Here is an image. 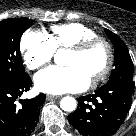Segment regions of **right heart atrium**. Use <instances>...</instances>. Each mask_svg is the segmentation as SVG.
Returning a JSON list of instances; mask_svg holds the SVG:
<instances>
[{
  "label": "right heart atrium",
  "instance_id": "right-heart-atrium-1",
  "mask_svg": "<svg viewBox=\"0 0 136 136\" xmlns=\"http://www.w3.org/2000/svg\"><path fill=\"white\" fill-rule=\"evenodd\" d=\"M20 49L24 65L30 70L47 64L55 53V48L48 36L37 30H28L22 35Z\"/></svg>",
  "mask_w": 136,
  "mask_h": 136
}]
</instances>
